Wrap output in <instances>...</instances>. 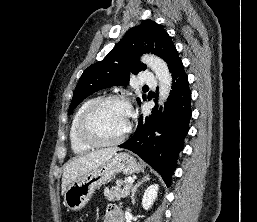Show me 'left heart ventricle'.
<instances>
[{"label": "left heart ventricle", "instance_id": "obj_1", "mask_svg": "<svg viewBox=\"0 0 257 222\" xmlns=\"http://www.w3.org/2000/svg\"><path fill=\"white\" fill-rule=\"evenodd\" d=\"M129 121V110L123 104L111 102L95 112L89 128L98 139L111 141L125 132Z\"/></svg>", "mask_w": 257, "mask_h": 222}]
</instances>
